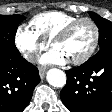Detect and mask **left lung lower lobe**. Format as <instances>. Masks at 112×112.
Instances as JSON below:
<instances>
[{"label":"left lung lower lobe","mask_w":112,"mask_h":112,"mask_svg":"<svg viewBox=\"0 0 112 112\" xmlns=\"http://www.w3.org/2000/svg\"><path fill=\"white\" fill-rule=\"evenodd\" d=\"M60 97L70 112H110L112 109V49L101 51L79 67L66 71Z\"/></svg>","instance_id":"left-lung-lower-lobe-1"}]
</instances>
